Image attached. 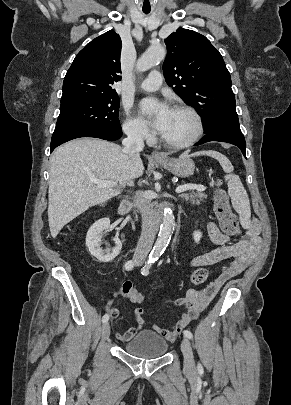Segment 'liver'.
Returning a JSON list of instances; mask_svg holds the SVG:
<instances>
[{
  "instance_id": "obj_1",
  "label": "liver",
  "mask_w": 291,
  "mask_h": 405,
  "mask_svg": "<svg viewBox=\"0 0 291 405\" xmlns=\"http://www.w3.org/2000/svg\"><path fill=\"white\" fill-rule=\"evenodd\" d=\"M139 154L130 157L114 143L80 138L56 149L50 160L48 221L51 236L90 207L117 196L142 176ZM91 178L113 181L117 188L98 187ZM119 184V185H118Z\"/></svg>"
}]
</instances>
